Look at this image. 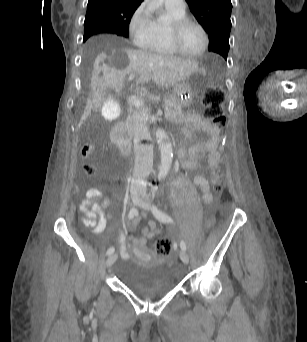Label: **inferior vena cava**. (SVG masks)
Returning a JSON list of instances; mask_svg holds the SVG:
<instances>
[{"instance_id": "602c4592", "label": "inferior vena cava", "mask_w": 307, "mask_h": 342, "mask_svg": "<svg viewBox=\"0 0 307 342\" xmlns=\"http://www.w3.org/2000/svg\"><path fill=\"white\" fill-rule=\"evenodd\" d=\"M134 132V170L131 180V192H146L147 178L152 172L153 166V148L148 146L144 148L140 144L146 128L142 126L140 120H136Z\"/></svg>"}]
</instances>
